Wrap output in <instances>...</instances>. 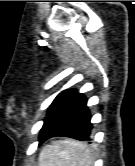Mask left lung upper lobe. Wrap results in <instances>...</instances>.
Here are the masks:
<instances>
[{"label": "left lung upper lobe", "instance_id": "1", "mask_svg": "<svg viewBox=\"0 0 135 166\" xmlns=\"http://www.w3.org/2000/svg\"><path fill=\"white\" fill-rule=\"evenodd\" d=\"M70 91H71L70 89H67V90L62 91V92L54 99V101L52 102V104H51V106H50V109H49V111H48V113H47V116L50 115V113H51L53 107H54L59 101L63 100V99L69 94Z\"/></svg>", "mask_w": 135, "mask_h": 166}]
</instances>
